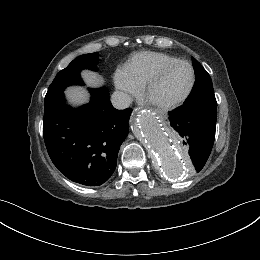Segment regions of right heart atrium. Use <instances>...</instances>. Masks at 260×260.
I'll use <instances>...</instances> for the list:
<instances>
[{"label": "right heart atrium", "mask_w": 260, "mask_h": 260, "mask_svg": "<svg viewBox=\"0 0 260 260\" xmlns=\"http://www.w3.org/2000/svg\"><path fill=\"white\" fill-rule=\"evenodd\" d=\"M114 83L125 100H129L132 96L138 95L142 89V85L134 82L122 69L116 71Z\"/></svg>", "instance_id": "right-heart-atrium-1"}]
</instances>
